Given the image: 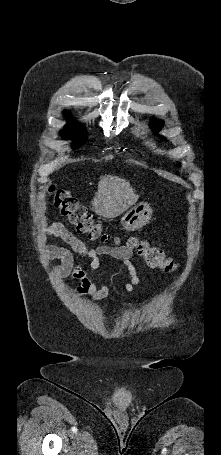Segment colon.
<instances>
[{"label":"colon","mask_w":221,"mask_h":455,"mask_svg":"<svg viewBox=\"0 0 221 455\" xmlns=\"http://www.w3.org/2000/svg\"><path fill=\"white\" fill-rule=\"evenodd\" d=\"M49 193L55 208L80 234L102 243L109 240L110 236L104 230L101 221L93 217L68 190L52 186ZM125 247L135 251L151 268L166 272H174L177 269V263L167 257L161 248L152 246L147 239L132 237Z\"/></svg>","instance_id":"1"}]
</instances>
